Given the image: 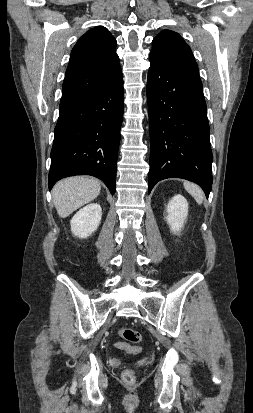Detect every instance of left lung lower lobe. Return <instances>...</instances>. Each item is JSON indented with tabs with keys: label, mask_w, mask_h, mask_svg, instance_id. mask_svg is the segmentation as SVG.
I'll list each match as a JSON object with an SVG mask.
<instances>
[{
	"label": "left lung lower lobe",
	"mask_w": 253,
	"mask_h": 413,
	"mask_svg": "<svg viewBox=\"0 0 253 413\" xmlns=\"http://www.w3.org/2000/svg\"><path fill=\"white\" fill-rule=\"evenodd\" d=\"M147 101L150 122L148 193L166 178L212 188V151L202 85L150 54Z\"/></svg>",
	"instance_id": "0a47b994"
}]
</instances>
